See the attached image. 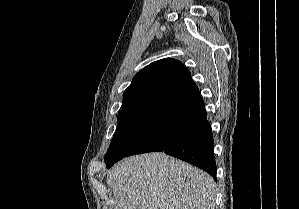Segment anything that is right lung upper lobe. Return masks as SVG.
I'll return each mask as SVG.
<instances>
[{"label":"right lung upper lobe","instance_id":"obj_1","mask_svg":"<svg viewBox=\"0 0 299 209\" xmlns=\"http://www.w3.org/2000/svg\"><path fill=\"white\" fill-rule=\"evenodd\" d=\"M190 71L179 61L165 58L139 71L123 94L122 106L143 102L161 104L191 82Z\"/></svg>","mask_w":299,"mask_h":209}]
</instances>
